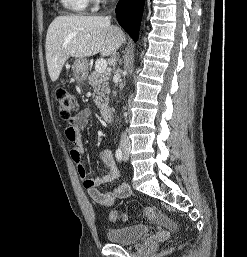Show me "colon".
<instances>
[{"instance_id": "obj_1", "label": "colon", "mask_w": 247, "mask_h": 257, "mask_svg": "<svg viewBox=\"0 0 247 257\" xmlns=\"http://www.w3.org/2000/svg\"><path fill=\"white\" fill-rule=\"evenodd\" d=\"M56 102L60 117L64 121L70 122L73 114L79 109V103L76 97L66 89L60 88L56 91ZM140 216L146 220H154L155 211L152 208H145L140 213ZM109 219L111 222L125 221L127 219V215L125 213L112 210L109 213Z\"/></svg>"}]
</instances>
